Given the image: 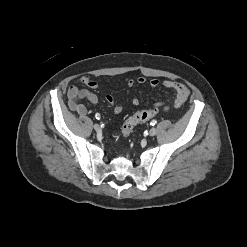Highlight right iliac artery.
I'll use <instances>...</instances> for the list:
<instances>
[{
  "label": "right iliac artery",
  "mask_w": 247,
  "mask_h": 247,
  "mask_svg": "<svg viewBox=\"0 0 247 247\" xmlns=\"http://www.w3.org/2000/svg\"><path fill=\"white\" fill-rule=\"evenodd\" d=\"M95 117H96L97 120H99L101 116H100V114L97 113V114L95 115Z\"/></svg>",
  "instance_id": "right-iliac-artery-1"
}]
</instances>
